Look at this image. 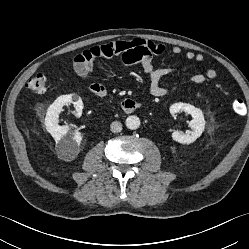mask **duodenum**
<instances>
[{"label":"duodenum","instance_id":"obj_1","mask_svg":"<svg viewBox=\"0 0 249 249\" xmlns=\"http://www.w3.org/2000/svg\"><path fill=\"white\" fill-rule=\"evenodd\" d=\"M90 91L97 97L108 98V92L105 88L91 86ZM120 106L123 112L129 114L142 108V103L132 99H125L121 102Z\"/></svg>","mask_w":249,"mask_h":249}]
</instances>
